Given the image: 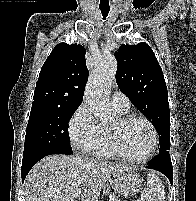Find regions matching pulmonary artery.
I'll return each instance as SVG.
<instances>
[{"label":"pulmonary artery","instance_id":"e3ab8cb5","mask_svg":"<svg viewBox=\"0 0 196 201\" xmlns=\"http://www.w3.org/2000/svg\"><path fill=\"white\" fill-rule=\"evenodd\" d=\"M111 102L113 107L119 112H127L130 109L128 97L120 91H115L112 94Z\"/></svg>","mask_w":196,"mask_h":201}]
</instances>
